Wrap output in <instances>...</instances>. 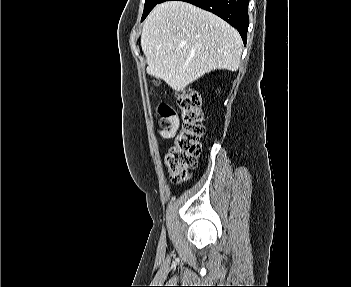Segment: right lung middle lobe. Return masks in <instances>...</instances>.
<instances>
[{
	"mask_svg": "<svg viewBox=\"0 0 351 287\" xmlns=\"http://www.w3.org/2000/svg\"><path fill=\"white\" fill-rule=\"evenodd\" d=\"M160 2V0H146L144 5V12L142 21L147 17L150 11Z\"/></svg>",
	"mask_w": 351,
	"mask_h": 287,
	"instance_id": "dd1d6c3e",
	"label": "right lung middle lobe"
}]
</instances>
